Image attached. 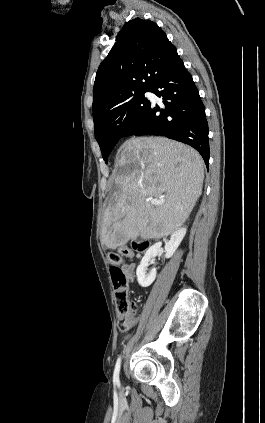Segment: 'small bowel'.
Masks as SVG:
<instances>
[{
  "instance_id": "1",
  "label": "small bowel",
  "mask_w": 265,
  "mask_h": 423,
  "mask_svg": "<svg viewBox=\"0 0 265 423\" xmlns=\"http://www.w3.org/2000/svg\"><path fill=\"white\" fill-rule=\"evenodd\" d=\"M134 267V264H124L122 266V270L129 281H133L134 279Z\"/></svg>"
}]
</instances>
